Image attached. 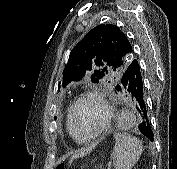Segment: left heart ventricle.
<instances>
[{
	"mask_svg": "<svg viewBox=\"0 0 177 169\" xmlns=\"http://www.w3.org/2000/svg\"><path fill=\"white\" fill-rule=\"evenodd\" d=\"M104 113L95 99H86L78 107L76 127L80 135L85 136L96 131L102 124Z\"/></svg>",
	"mask_w": 177,
	"mask_h": 169,
	"instance_id": "b2bd125f",
	"label": "left heart ventricle"
}]
</instances>
